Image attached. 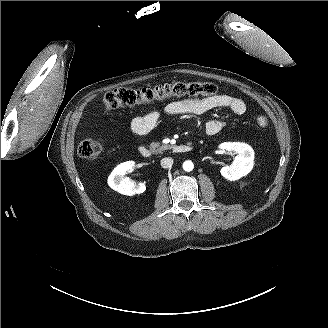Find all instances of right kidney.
Segmentation results:
<instances>
[{
	"label": "right kidney",
	"mask_w": 328,
	"mask_h": 328,
	"mask_svg": "<svg viewBox=\"0 0 328 328\" xmlns=\"http://www.w3.org/2000/svg\"><path fill=\"white\" fill-rule=\"evenodd\" d=\"M135 167L134 161H126L114 168L108 177V185L115 191L132 196L143 193L146 190L144 183H136L128 177H124L127 172H132Z\"/></svg>",
	"instance_id": "ca27d5eb"
}]
</instances>
